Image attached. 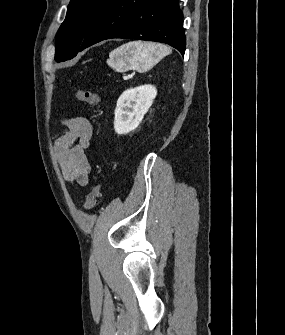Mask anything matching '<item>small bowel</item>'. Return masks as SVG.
Returning a JSON list of instances; mask_svg holds the SVG:
<instances>
[{"instance_id": "obj_1", "label": "small bowel", "mask_w": 285, "mask_h": 335, "mask_svg": "<svg viewBox=\"0 0 285 335\" xmlns=\"http://www.w3.org/2000/svg\"><path fill=\"white\" fill-rule=\"evenodd\" d=\"M67 127L55 142V152L64 179L77 186H85L91 171L86 151L92 146L93 126L85 117L63 121Z\"/></svg>"}]
</instances>
